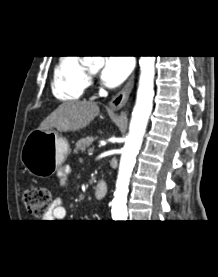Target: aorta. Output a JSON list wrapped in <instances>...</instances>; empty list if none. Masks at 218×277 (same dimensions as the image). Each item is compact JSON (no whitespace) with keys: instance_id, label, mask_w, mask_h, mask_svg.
Masks as SVG:
<instances>
[{"instance_id":"1","label":"aorta","mask_w":218,"mask_h":277,"mask_svg":"<svg viewBox=\"0 0 218 277\" xmlns=\"http://www.w3.org/2000/svg\"><path fill=\"white\" fill-rule=\"evenodd\" d=\"M91 60L96 65L103 63L102 56H92ZM139 65L140 77L136 103L132 112L129 133L122 149L116 190L112 202V218L116 221L125 220L128 215L126 201L129 181L153 107L155 56H141Z\"/></svg>"}]
</instances>
